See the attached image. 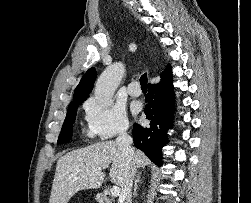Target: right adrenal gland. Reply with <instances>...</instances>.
Segmentation results:
<instances>
[{
  "label": "right adrenal gland",
  "mask_w": 251,
  "mask_h": 203,
  "mask_svg": "<svg viewBox=\"0 0 251 203\" xmlns=\"http://www.w3.org/2000/svg\"><path fill=\"white\" fill-rule=\"evenodd\" d=\"M139 181H140V174H138V176H137V178H136V180H135V184H134V193H133L134 197L137 196V188H138V183H139Z\"/></svg>",
  "instance_id": "1"
}]
</instances>
